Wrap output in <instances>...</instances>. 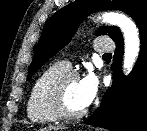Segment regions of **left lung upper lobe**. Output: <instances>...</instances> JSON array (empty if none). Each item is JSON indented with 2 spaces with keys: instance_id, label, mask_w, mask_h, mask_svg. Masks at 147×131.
I'll return each mask as SVG.
<instances>
[{
  "instance_id": "left-lung-upper-lobe-1",
  "label": "left lung upper lobe",
  "mask_w": 147,
  "mask_h": 131,
  "mask_svg": "<svg viewBox=\"0 0 147 131\" xmlns=\"http://www.w3.org/2000/svg\"><path fill=\"white\" fill-rule=\"evenodd\" d=\"M101 10L123 11L134 19L138 28L147 21V0H75L54 13L44 25L27 80L70 41L85 17ZM95 34L108 35L115 42L123 39L116 26L100 27Z\"/></svg>"
}]
</instances>
